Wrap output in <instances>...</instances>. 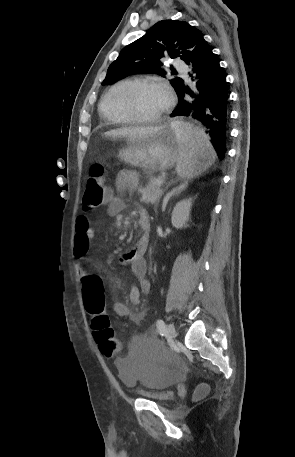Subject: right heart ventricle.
I'll return each mask as SVG.
<instances>
[{
	"label": "right heart ventricle",
	"instance_id": "right-heart-ventricle-1",
	"mask_svg": "<svg viewBox=\"0 0 295 457\" xmlns=\"http://www.w3.org/2000/svg\"><path fill=\"white\" fill-rule=\"evenodd\" d=\"M130 79H125L116 82L104 93L99 103V112L102 117L112 124H130L134 122L121 109L118 96L121 90L131 82Z\"/></svg>",
	"mask_w": 295,
	"mask_h": 457
}]
</instances>
